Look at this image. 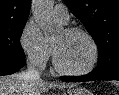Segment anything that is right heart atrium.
<instances>
[{
  "mask_svg": "<svg viewBox=\"0 0 119 95\" xmlns=\"http://www.w3.org/2000/svg\"><path fill=\"white\" fill-rule=\"evenodd\" d=\"M20 44L28 61L35 67H44L52 56L51 45L39 26L32 21L25 24L20 36Z\"/></svg>",
  "mask_w": 119,
  "mask_h": 95,
  "instance_id": "right-heart-atrium-1",
  "label": "right heart atrium"
}]
</instances>
